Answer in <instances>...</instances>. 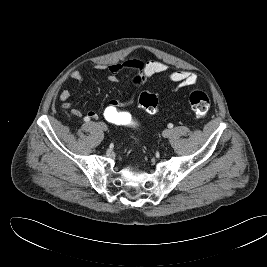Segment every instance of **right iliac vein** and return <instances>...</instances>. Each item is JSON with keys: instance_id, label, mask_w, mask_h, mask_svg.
I'll return each instance as SVG.
<instances>
[{"instance_id": "obj_1", "label": "right iliac vein", "mask_w": 267, "mask_h": 267, "mask_svg": "<svg viewBox=\"0 0 267 267\" xmlns=\"http://www.w3.org/2000/svg\"><path fill=\"white\" fill-rule=\"evenodd\" d=\"M99 127L103 131H107V129H108L107 126H106V124H104V123H99Z\"/></svg>"}]
</instances>
